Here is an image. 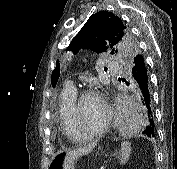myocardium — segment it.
I'll use <instances>...</instances> for the list:
<instances>
[{"mask_svg": "<svg viewBox=\"0 0 177 169\" xmlns=\"http://www.w3.org/2000/svg\"><path fill=\"white\" fill-rule=\"evenodd\" d=\"M87 96L98 97L103 102L105 109H106V118H105L101 127H99L98 129H96L94 131L82 134L79 132V107L81 105L82 100ZM71 119H72L73 129H74L76 139L82 140V139L96 137V136H99V135H102L103 133H105L111 124L112 111H111V107H110L109 103L107 102V100L103 94H101L99 91H97L91 87H87V88L81 89L77 93V96H76V98L73 102V105L71 107Z\"/></svg>", "mask_w": 177, "mask_h": 169, "instance_id": "1", "label": "myocardium"}]
</instances>
